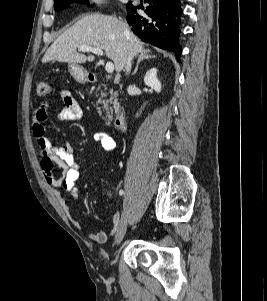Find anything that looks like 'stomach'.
I'll return each instance as SVG.
<instances>
[{
    "mask_svg": "<svg viewBox=\"0 0 267 301\" xmlns=\"http://www.w3.org/2000/svg\"><path fill=\"white\" fill-rule=\"evenodd\" d=\"M69 72L71 76L79 83H85L88 79L87 71L78 64H69Z\"/></svg>",
    "mask_w": 267,
    "mask_h": 301,
    "instance_id": "stomach-1",
    "label": "stomach"
}]
</instances>
